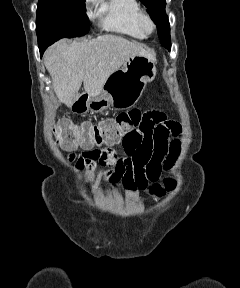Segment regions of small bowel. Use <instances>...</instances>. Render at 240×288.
I'll use <instances>...</instances> for the list:
<instances>
[{"mask_svg":"<svg viewBox=\"0 0 240 288\" xmlns=\"http://www.w3.org/2000/svg\"><path fill=\"white\" fill-rule=\"evenodd\" d=\"M181 126L170 120L158 110H147L143 113L142 123L138 130L122 140L126 156L118 158L112 148L114 143H106V147H82L84 152L77 155L70 151L69 163H75L76 172L85 170V180L90 181L95 173L97 163L113 165L112 172H101L113 183L119 181L130 190L144 189L149 182H155L163 170L171 168L180 152ZM172 138V139H171Z\"/></svg>","mask_w":240,"mask_h":288,"instance_id":"small-bowel-1","label":"small bowel"}]
</instances>
